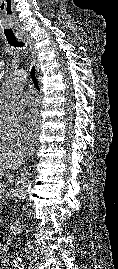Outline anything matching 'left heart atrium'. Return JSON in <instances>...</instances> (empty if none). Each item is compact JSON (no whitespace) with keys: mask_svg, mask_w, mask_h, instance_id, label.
Returning a JSON list of instances; mask_svg holds the SVG:
<instances>
[{"mask_svg":"<svg viewBox=\"0 0 118 269\" xmlns=\"http://www.w3.org/2000/svg\"><path fill=\"white\" fill-rule=\"evenodd\" d=\"M40 116L35 108L29 110L27 113V122L30 127L36 128L39 124Z\"/></svg>","mask_w":118,"mask_h":269,"instance_id":"left-heart-atrium-1","label":"left heart atrium"}]
</instances>
